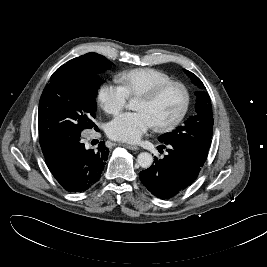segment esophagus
I'll list each match as a JSON object with an SVG mask.
<instances>
[{
	"label": "esophagus",
	"instance_id": "esophagus-1",
	"mask_svg": "<svg viewBox=\"0 0 267 267\" xmlns=\"http://www.w3.org/2000/svg\"><path fill=\"white\" fill-rule=\"evenodd\" d=\"M127 149L137 151L139 150V147L134 146V145H124Z\"/></svg>",
	"mask_w": 267,
	"mask_h": 267
}]
</instances>
